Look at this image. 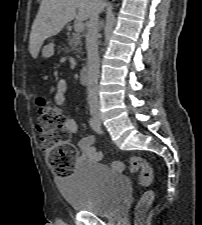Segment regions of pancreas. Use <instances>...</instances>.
I'll use <instances>...</instances> for the list:
<instances>
[{"label":"pancreas","instance_id":"pancreas-1","mask_svg":"<svg viewBox=\"0 0 202 225\" xmlns=\"http://www.w3.org/2000/svg\"><path fill=\"white\" fill-rule=\"evenodd\" d=\"M68 45L70 48L66 47V50L69 51H75L77 53L80 52L81 48L79 46H81V35L79 33L74 34L68 42Z\"/></svg>","mask_w":202,"mask_h":225}]
</instances>
